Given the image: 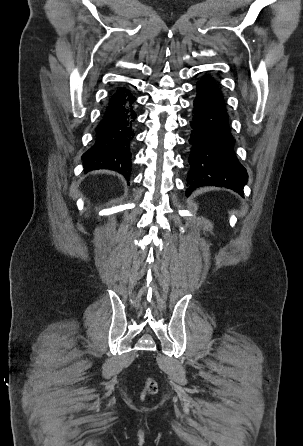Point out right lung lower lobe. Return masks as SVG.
<instances>
[{
	"label": "right lung lower lobe",
	"mask_w": 303,
	"mask_h": 446,
	"mask_svg": "<svg viewBox=\"0 0 303 446\" xmlns=\"http://www.w3.org/2000/svg\"><path fill=\"white\" fill-rule=\"evenodd\" d=\"M136 98L125 86L114 90L102 121L97 126L95 144L84 155L85 171L110 169L124 175L131 173V142L134 137Z\"/></svg>",
	"instance_id": "98d812e1"
}]
</instances>
